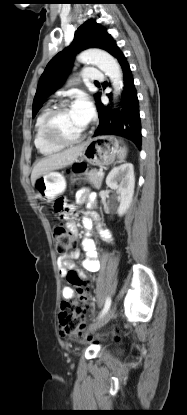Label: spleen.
<instances>
[{
	"mask_svg": "<svg viewBox=\"0 0 187 415\" xmlns=\"http://www.w3.org/2000/svg\"><path fill=\"white\" fill-rule=\"evenodd\" d=\"M126 155H127V148L126 146H123L122 148H120V151L118 153L119 162H123Z\"/></svg>",
	"mask_w": 187,
	"mask_h": 415,
	"instance_id": "spleen-1",
	"label": "spleen"
}]
</instances>
